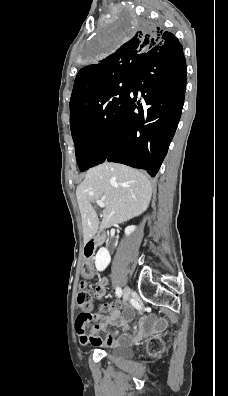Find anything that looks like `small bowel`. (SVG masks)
Returning a JSON list of instances; mask_svg holds the SVG:
<instances>
[{
  "label": "small bowel",
  "instance_id": "1",
  "mask_svg": "<svg viewBox=\"0 0 228 396\" xmlns=\"http://www.w3.org/2000/svg\"><path fill=\"white\" fill-rule=\"evenodd\" d=\"M93 264L87 261L83 266L85 275L91 276L93 274ZM107 279L101 278L96 287V296L99 299L104 298L106 294ZM134 317V309L131 306L123 307L119 302H112L104 304L100 310L95 313L94 319L98 322L88 332L77 324V335L81 345H92L96 347H113L119 344L139 341L154 329V325L149 320L143 319L140 324V329L137 334L130 333L129 322ZM108 324H113L122 328V332L106 331L105 337L99 336L102 330H105Z\"/></svg>",
  "mask_w": 228,
  "mask_h": 396
}]
</instances>
